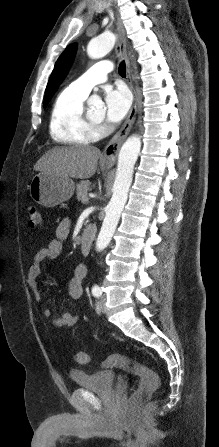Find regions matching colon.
<instances>
[{
    "label": "colon",
    "mask_w": 219,
    "mask_h": 447,
    "mask_svg": "<svg viewBox=\"0 0 219 447\" xmlns=\"http://www.w3.org/2000/svg\"><path fill=\"white\" fill-rule=\"evenodd\" d=\"M28 224L30 228H37L42 222L40 209L36 205H30L28 209ZM75 359L80 364H87L88 355L83 351L75 353ZM103 367H118L128 369L140 377L139 386L131 396V401L138 403L149 397L159 386L160 380L152 370L138 364L129 357L122 354H111L102 362Z\"/></svg>",
    "instance_id": "1"
}]
</instances>
